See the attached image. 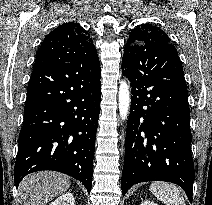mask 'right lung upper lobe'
<instances>
[{
	"instance_id": "obj_1",
	"label": "right lung upper lobe",
	"mask_w": 212,
	"mask_h": 205,
	"mask_svg": "<svg viewBox=\"0 0 212 205\" xmlns=\"http://www.w3.org/2000/svg\"><path fill=\"white\" fill-rule=\"evenodd\" d=\"M96 48L88 32L75 22L59 25L42 41L33 69L62 63H94Z\"/></svg>"
}]
</instances>
